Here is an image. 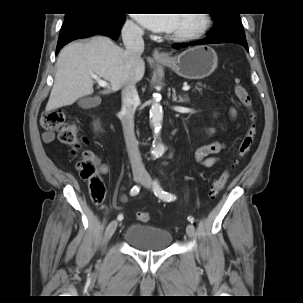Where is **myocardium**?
I'll list each match as a JSON object with an SVG mask.
<instances>
[{"label":"myocardium","mask_w":303,"mask_h":303,"mask_svg":"<svg viewBox=\"0 0 303 303\" xmlns=\"http://www.w3.org/2000/svg\"><path fill=\"white\" fill-rule=\"evenodd\" d=\"M200 19V24L193 30L174 32L170 37L174 40L187 41L200 37L203 35L211 25L210 15L207 13H196Z\"/></svg>","instance_id":"f54148a6"}]
</instances>
